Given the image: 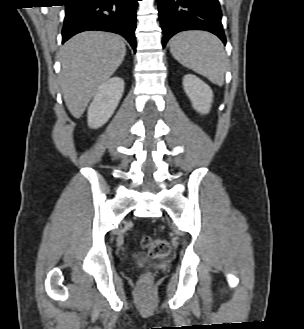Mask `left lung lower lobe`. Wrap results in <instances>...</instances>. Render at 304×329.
<instances>
[{
  "label": "left lung lower lobe",
  "instance_id": "left-lung-lower-lobe-1",
  "mask_svg": "<svg viewBox=\"0 0 304 329\" xmlns=\"http://www.w3.org/2000/svg\"><path fill=\"white\" fill-rule=\"evenodd\" d=\"M158 10L163 47L174 34L184 30H206L226 44L218 0H158Z\"/></svg>",
  "mask_w": 304,
  "mask_h": 329
}]
</instances>
